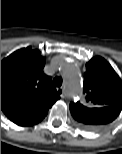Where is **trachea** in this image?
I'll use <instances>...</instances> for the list:
<instances>
[{
	"label": "trachea",
	"instance_id": "3493384b",
	"mask_svg": "<svg viewBox=\"0 0 122 154\" xmlns=\"http://www.w3.org/2000/svg\"><path fill=\"white\" fill-rule=\"evenodd\" d=\"M61 85H62V79L60 77H56L53 79V86L61 87Z\"/></svg>",
	"mask_w": 122,
	"mask_h": 154
}]
</instances>
